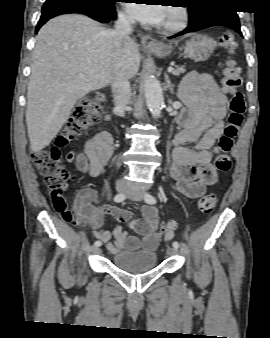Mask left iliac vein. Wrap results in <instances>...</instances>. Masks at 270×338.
I'll list each match as a JSON object with an SVG mask.
<instances>
[{
	"label": "left iliac vein",
	"instance_id": "left-iliac-vein-1",
	"mask_svg": "<svg viewBox=\"0 0 270 338\" xmlns=\"http://www.w3.org/2000/svg\"><path fill=\"white\" fill-rule=\"evenodd\" d=\"M144 191H141L139 189L130 188L128 191H126L127 197L134 201H141L144 198ZM168 256H173L177 254V249L174 247H168L166 251Z\"/></svg>",
	"mask_w": 270,
	"mask_h": 338
}]
</instances>
